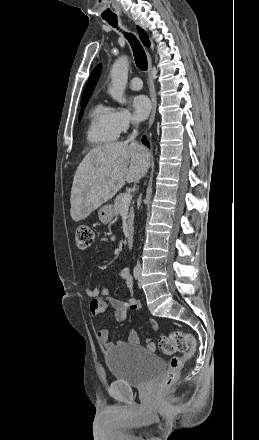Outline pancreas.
Instances as JSON below:
<instances>
[{"label":"pancreas","instance_id":"1","mask_svg":"<svg viewBox=\"0 0 259 440\" xmlns=\"http://www.w3.org/2000/svg\"><path fill=\"white\" fill-rule=\"evenodd\" d=\"M128 193H122L120 195H118L116 197V199L114 200V215L118 216L122 210V208L124 207L123 203H122V199L124 196H126ZM130 205V204H129ZM128 205V206H129ZM127 206V207H128ZM133 219H134V209L133 207H131L129 209V213H128V220H127V224H128V228H130L133 224Z\"/></svg>","mask_w":259,"mask_h":440}]
</instances>
